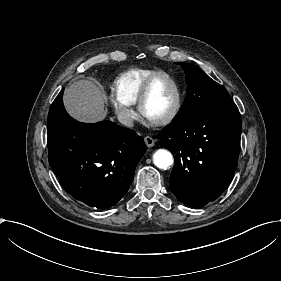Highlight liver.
<instances>
[{
  "mask_svg": "<svg viewBox=\"0 0 281 281\" xmlns=\"http://www.w3.org/2000/svg\"><path fill=\"white\" fill-rule=\"evenodd\" d=\"M63 100L68 113L78 121L95 123L106 117L102 92L89 80L72 83L65 89Z\"/></svg>",
  "mask_w": 281,
  "mask_h": 281,
  "instance_id": "liver-1",
  "label": "liver"
}]
</instances>
